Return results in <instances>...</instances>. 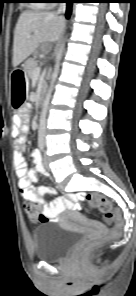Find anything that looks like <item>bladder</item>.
Segmentation results:
<instances>
[{"label": "bladder", "instance_id": "1", "mask_svg": "<svg viewBox=\"0 0 136 296\" xmlns=\"http://www.w3.org/2000/svg\"><path fill=\"white\" fill-rule=\"evenodd\" d=\"M78 234V231L68 230L58 223L38 225L32 233L35 258L42 262L62 259L77 242Z\"/></svg>", "mask_w": 136, "mask_h": 296}]
</instances>
